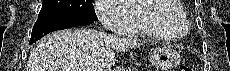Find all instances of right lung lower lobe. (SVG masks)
<instances>
[{
	"instance_id": "98d812e1",
	"label": "right lung lower lobe",
	"mask_w": 230,
	"mask_h": 71,
	"mask_svg": "<svg viewBox=\"0 0 230 71\" xmlns=\"http://www.w3.org/2000/svg\"><path fill=\"white\" fill-rule=\"evenodd\" d=\"M97 18L87 16H61L38 19L32 29L30 44L36 42L46 34L73 26H83L93 23Z\"/></svg>"
}]
</instances>
